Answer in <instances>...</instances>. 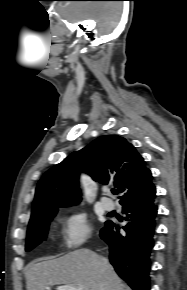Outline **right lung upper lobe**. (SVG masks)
Masks as SVG:
<instances>
[{
  "label": "right lung upper lobe",
  "instance_id": "cb5924a9",
  "mask_svg": "<svg viewBox=\"0 0 187 290\" xmlns=\"http://www.w3.org/2000/svg\"><path fill=\"white\" fill-rule=\"evenodd\" d=\"M81 171L97 182L112 183L118 188L122 206L144 203L155 197L152 174L135 147L118 135L101 136L44 174L36 188L30 222L58 207L79 203Z\"/></svg>",
  "mask_w": 187,
  "mask_h": 290
}]
</instances>
